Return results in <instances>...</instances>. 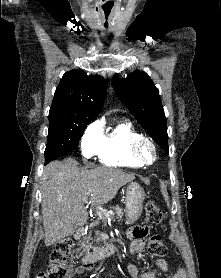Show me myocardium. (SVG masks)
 <instances>
[{
	"mask_svg": "<svg viewBox=\"0 0 221 278\" xmlns=\"http://www.w3.org/2000/svg\"><path fill=\"white\" fill-rule=\"evenodd\" d=\"M144 144L149 145L153 150V157L152 159H146L141 152V148ZM129 154L130 156L137 161L141 165H152L158 157V149L154 141L143 135H139L135 139L132 140V142L129 145Z\"/></svg>",
	"mask_w": 221,
	"mask_h": 278,
	"instance_id": "1",
	"label": "myocardium"
}]
</instances>
